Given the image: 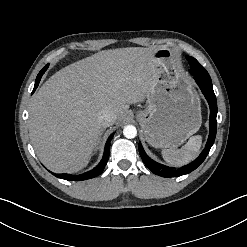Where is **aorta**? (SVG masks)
<instances>
[{
    "instance_id": "obj_1",
    "label": "aorta",
    "mask_w": 247,
    "mask_h": 247,
    "mask_svg": "<svg viewBox=\"0 0 247 247\" xmlns=\"http://www.w3.org/2000/svg\"><path fill=\"white\" fill-rule=\"evenodd\" d=\"M123 134L128 139L135 138L137 135V129L133 125H127L123 129Z\"/></svg>"
}]
</instances>
